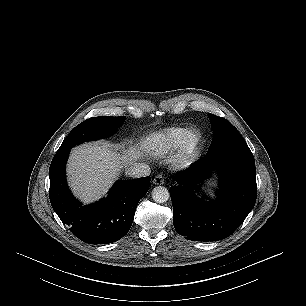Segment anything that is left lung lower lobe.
<instances>
[{"label":"left lung lower lobe","instance_id":"0a47b994","mask_svg":"<svg viewBox=\"0 0 306 306\" xmlns=\"http://www.w3.org/2000/svg\"><path fill=\"white\" fill-rule=\"evenodd\" d=\"M213 170L220 176L218 198L196 197L198 183ZM170 188L176 231L193 241H217L230 236L245 220L257 197L256 170L248 146L207 152L206 156L175 176Z\"/></svg>","mask_w":306,"mask_h":306}]
</instances>
